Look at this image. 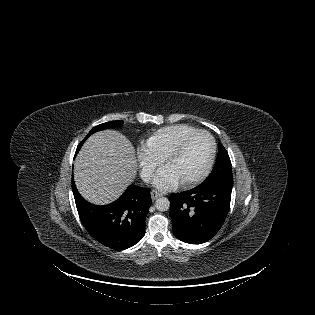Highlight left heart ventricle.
Returning <instances> with one entry per match:
<instances>
[{"label":"left heart ventricle","mask_w":315,"mask_h":315,"mask_svg":"<svg viewBox=\"0 0 315 315\" xmlns=\"http://www.w3.org/2000/svg\"><path fill=\"white\" fill-rule=\"evenodd\" d=\"M211 144L205 134L194 136L188 141L183 151L172 159L167 168L177 175L180 181L197 176L205 167Z\"/></svg>","instance_id":"left-heart-ventricle-1"}]
</instances>
